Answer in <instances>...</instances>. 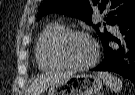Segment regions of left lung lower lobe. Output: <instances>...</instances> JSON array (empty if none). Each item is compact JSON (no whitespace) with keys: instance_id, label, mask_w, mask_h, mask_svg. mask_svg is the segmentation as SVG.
<instances>
[{"instance_id":"1","label":"left lung lower lobe","mask_w":135,"mask_h":95,"mask_svg":"<svg viewBox=\"0 0 135 95\" xmlns=\"http://www.w3.org/2000/svg\"><path fill=\"white\" fill-rule=\"evenodd\" d=\"M121 39L111 34L102 41L104 58L92 71L115 72L135 85V13L118 24Z\"/></svg>"}]
</instances>
